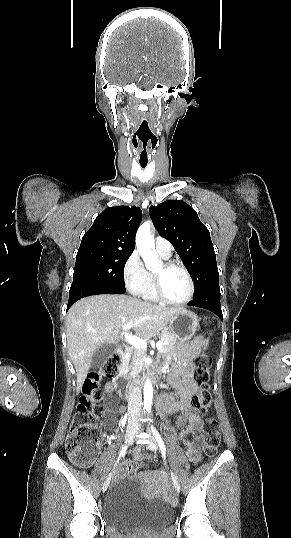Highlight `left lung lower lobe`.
Wrapping results in <instances>:
<instances>
[{"instance_id":"0a47b994","label":"left lung lower lobe","mask_w":291,"mask_h":538,"mask_svg":"<svg viewBox=\"0 0 291 538\" xmlns=\"http://www.w3.org/2000/svg\"><path fill=\"white\" fill-rule=\"evenodd\" d=\"M189 306L201 307L215 313L220 319H223L222 310L220 306V288L216 286L198 298L193 299L188 304Z\"/></svg>"}]
</instances>
